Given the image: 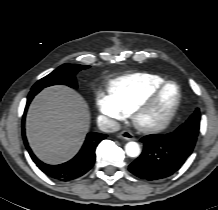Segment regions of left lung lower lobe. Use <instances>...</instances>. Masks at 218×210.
Segmentation results:
<instances>
[{"mask_svg":"<svg viewBox=\"0 0 218 210\" xmlns=\"http://www.w3.org/2000/svg\"><path fill=\"white\" fill-rule=\"evenodd\" d=\"M183 133L179 127L166 135L143 137V152L129 165V171L147 180H158L175 173L192 153L196 142Z\"/></svg>","mask_w":218,"mask_h":210,"instance_id":"1","label":"left lung lower lobe"}]
</instances>
